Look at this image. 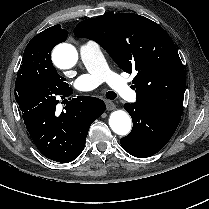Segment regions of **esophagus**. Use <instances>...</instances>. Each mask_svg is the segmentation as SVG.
I'll return each instance as SVG.
<instances>
[{
  "mask_svg": "<svg viewBox=\"0 0 209 209\" xmlns=\"http://www.w3.org/2000/svg\"><path fill=\"white\" fill-rule=\"evenodd\" d=\"M105 103L108 111L115 109V104L112 101L106 100Z\"/></svg>",
  "mask_w": 209,
  "mask_h": 209,
  "instance_id": "esophagus-1",
  "label": "esophagus"
}]
</instances>
